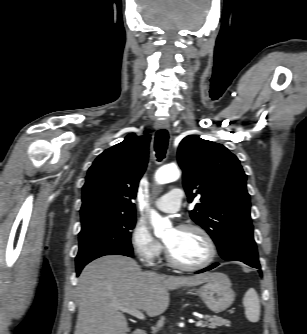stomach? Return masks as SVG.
<instances>
[{
  "label": "stomach",
  "mask_w": 307,
  "mask_h": 334,
  "mask_svg": "<svg viewBox=\"0 0 307 334\" xmlns=\"http://www.w3.org/2000/svg\"><path fill=\"white\" fill-rule=\"evenodd\" d=\"M190 294H198L206 306L215 313L229 308L235 299L230 279L223 273H213V278L198 289H191Z\"/></svg>",
  "instance_id": "1"
}]
</instances>
